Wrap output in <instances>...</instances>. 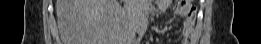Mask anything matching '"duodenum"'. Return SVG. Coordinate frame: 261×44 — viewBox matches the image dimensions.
Segmentation results:
<instances>
[{"label":"duodenum","instance_id":"410a0bca","mask_svg":"<svg viewBox=\"0 0 261 44\" xmlns=\"http://www.w3.org/2000/svg\"><path fill=\"white\" fill-rule=\"evenodd\" d=\"M135 24L140 34H144L148 28L147 12L144 9L137 10L135 15Z\"/></svg>","mask_w":261,"mask_h":44}]
</instances>
